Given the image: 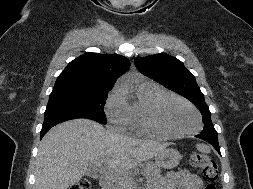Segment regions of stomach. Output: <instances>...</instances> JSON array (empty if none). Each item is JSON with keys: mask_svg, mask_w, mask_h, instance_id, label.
<instances>
[{"mask_svg": "<svg viewBox=\"0 0 253 189\" xmlns=\"http://www.w3.org/2000/svg\"><path fill=\"white\" fill-rule=\"evenodd\" d=\"M180 160L181 155L177 149L165 148L155 156V165L166 169H172L179 164Z\"/></svg>", "mask_w": 253, "mask_h": 189, "instance_id": "1", "label": "stomach"}]
</instances>
